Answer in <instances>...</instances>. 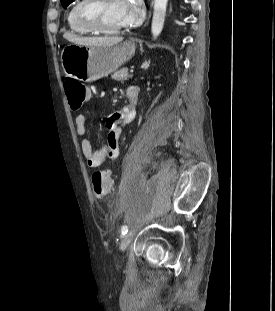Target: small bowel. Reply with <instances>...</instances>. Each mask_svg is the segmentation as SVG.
Returning <instances> with one entry per match:
<instances>
[{
    "mask_svg": "<svg viewBox=\"0 0 275 311\" xmlns=\"http://www.w3.org/2000/svg\"><path fill=\"white\" fill-rule=\"evenodd\" d=\"M127 96L130 100V103L116 110L106 120V141L97 150L92 147L90 140L85 138L87 133V113L84 112L77 115L75 119L76 134L80 137H83L81 140V151L89 167H99L108 158H116L118 156V142L121 136L122 127L134 119L135 104L139 96V90L136 87H130L127 90ZM131 98H133L135 102H132Z\"/></svg>",
    "mask_w": 275,
    "mask_h": 311,
    "instance_id": "obj_1",
    "label": "small bowel"
}]
</instances>
